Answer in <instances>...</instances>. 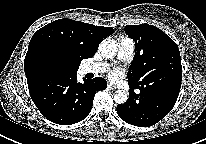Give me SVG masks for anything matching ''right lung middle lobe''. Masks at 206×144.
I'll return each instance as SVG.
<instances>
[{
	"instance_id": "right-lung-middle-lobe-1",
	"label": "right lung middle lobe",
	"mask_w": 206,
	"mask_h": 144,
	"mask_svg": "<svg viewBox=\"0 0 206 144\" xmlns=\"http://www.w3.org/2000/svg\"><path fill=\"white\" fill-rule=\"evenodd\" d=\"M79 66L69 67L61 57L53 54L39 55L34 61V69L41 75L64 76L67 73L76 74Z\"/></svg>"
}]
</instances>
